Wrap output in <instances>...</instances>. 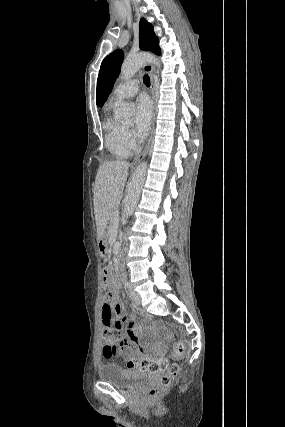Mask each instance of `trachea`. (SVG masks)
I'll return each mask as SVG.
<instances>
[{
	"instance_id": "obj_1",
	"label": "trachea",
	"mask_w": 285,
	"mask_h": 427,
	"mask_svg": "<svg viewBox=\"0 0 285 427\" xmlns=\"http://www.w3.org/2000/svg\"><path fill=\"white\" fill-rule=\"evenodd\" d=\"M143 81H144V84H145L147 87H150V78H149V76H148V75H144V77H143Z\"/></svg>"
}]
</instances>
